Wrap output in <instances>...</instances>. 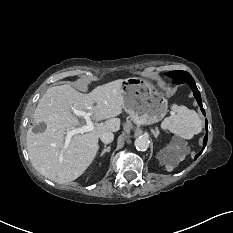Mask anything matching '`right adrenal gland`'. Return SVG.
<instances>
[{
  "instance_id": "2a0ac1e0",
  "label": "right adrenal gland",
  "mask_w": 233,
  "mask_h": 233,
  "mask_svg": "<svg viewBox=\"0 0 233 233\" xmlns=\"http://www.w3.org/2000/svg\"><path fill=\"white\" fill-rule=\"evenodd\" d=\"M111 150V147L110 146H105V148L102 150L100 156H102L103 154L107 153V152H110Z\"/></svg>"
}]
</instances>
